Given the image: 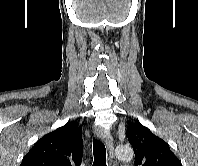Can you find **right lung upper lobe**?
I'll list each match as a JSON object with an SVG mask.
<instances>
[{
    "instance_id": "1",
    "label": "right lung upper lobe",
    "mask_w": 198,
    "mask_h": 166,
    "mask_svg": "<svg viewBox=\"0 0 198 166\" xmlns=\"http://www.w3.org/2000/svg\"><path fill=\"white\" fill-rule=\"evenodd\" d=\"M82 126L74 123L39 139L20 166H80L83 154Z\"/></svg>"
}]
</instances>
